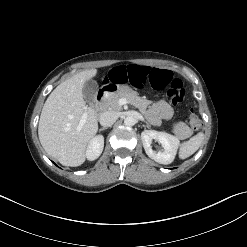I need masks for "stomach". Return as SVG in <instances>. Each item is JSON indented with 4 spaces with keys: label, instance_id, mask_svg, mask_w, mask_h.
<instances>
[{
    "label": "stomach",
    "instance_id": "stomach-1",
    "mask_svg": "<svg viewBox=\"0 0 247 247\" xmlns=\"http://www.w3.org/2000/svg\"><path fill=\"white\" fill-rule=\"evenodd\" d=\"M123 92H127V93H132V89L129 88L128 86H124L122 89H121Z\"/></svg>",
    "mask_w": 247,
    "mask_h": 247
}]
</instances>
